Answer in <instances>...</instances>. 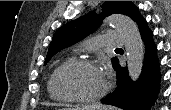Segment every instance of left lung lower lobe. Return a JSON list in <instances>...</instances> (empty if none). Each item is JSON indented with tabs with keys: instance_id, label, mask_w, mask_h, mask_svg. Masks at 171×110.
Masks as SVG:
<instances>
[{
	"instance_id": "obj_1",
	"label": "left lung lower lobe",
	"mask_w": 171,
	"mask_h": 110,
	"mask_svg": "<svg viewBox=\"0 0 171 110\" xmlns=\"http://www.w3.org/2000/svg\"><path fill=\"white\" fill-rule=\"evenodd\" d=\"M137 25L145 44V59L141 73L143 76L136 82H132L128 77L127 68L121 67L118 63L115 69L118 78L117 87L107 98L102 100V103L124 110H149L159 91V63L152 38L153 34L144 18H141Z\"/></svg>"
}]
</instances>
